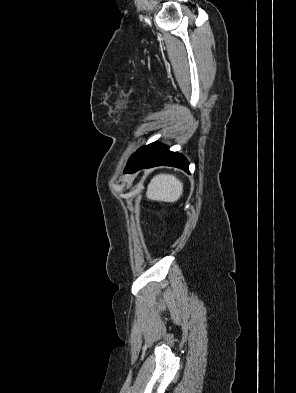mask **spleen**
Segmentation results:
<instances>
[{
    "mask_svg": "<svg viewBox=\"0 0 296 393\" xmlns=\"http://www.w3.org/2000/svg\"><path fill=\"white\" fill-rule=\"evenodd\" d=\"M183 194V183L173 175L159 174L152 178L146 196L150 200L176 202Z\"/></svg>",
    "mask_w": 296,
    "mask_h": 393,
    "instance_id": "1",
    "label": "spleen"
}]
</instances>
